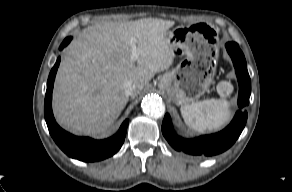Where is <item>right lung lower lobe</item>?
<instances>
[{
	"label": "right lung lower lobe",
	"instance_id": "1",
	"mask_svg": "<svg viewBox=\"0 0 292 192\" xmlns=\"http://www.w3.org/2000/svg\"><path fill=\"white\" fill-rule=\"evenodd\" d=\"M71 39L72 37H67L62 42L59 50H62L66 45H68ZM59 64L60 58L57 59L49 74L44 102L45 120L52 138L68 156L81 161L94 162L114 155L121 148L124 142L129 122L128 119L123 122L119 131L114 136L100 141L93 140L91 138L73 136L61 129L55 122L52 113L51 101L53 83Z\"/></svg>",
	"mask_w": 292,
	"mask_h": 192
}]
</instances>
